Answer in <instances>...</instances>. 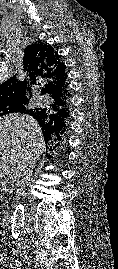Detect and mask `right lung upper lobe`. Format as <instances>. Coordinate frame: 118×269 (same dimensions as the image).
Masks as SVG:
<instances>
[{
    "label": "right lung upper lobe",
    "mask_w": 118,
    "mask_h": 269,
    "mask_svg": "<svg viewBox=\"0 0 118 269\" xmlns=\"http://www.w3.org/2000/svg\"><path fill=\"white\" fill-rule=\"evenodd\" d=\"M23 67L26 78L20 81L16 75L0 85V106L27 103L22 113L35 118L42 127L46 141L62 132L69 117V88L66 66L50 45L32 44L25 48ZM40 86L42 94L50 101L41 108H28L32 88Z\"/></svg>",
    "instance_id": "obj_1"
}]
</instances>
